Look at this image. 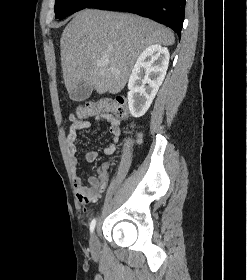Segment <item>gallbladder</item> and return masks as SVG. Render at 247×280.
<instances>
[{"mask_svg":"<svg viewBox=\"0 0 247 280\" xmlns=\"http://www.w3.org/2000/svg\"><path fill=\"white\" fill-rule=\"evenodd\" d=\"M92 91L93 87L91 85L82 84L76 89L75 93L72 95V99L78 102L84 101L90 97Z\"/></svg>","mask_w":247,"mask_h":280,"instance_id":"obj_1","label":"gallbladder"}]
</instances>
